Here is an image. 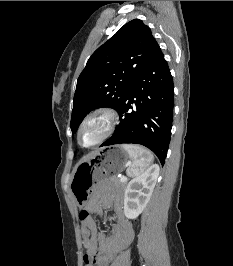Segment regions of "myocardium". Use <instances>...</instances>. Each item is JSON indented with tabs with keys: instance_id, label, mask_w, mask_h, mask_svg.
I'll use <instances>...</instances> for the list:
<instances>
[{
	"instance_id": "f54148a6",
	"label": "myocardium",
	"mask_w": 233,
	"mask_h": 266,
	"mask_svg": "<svg viewBox=\"0 0 233 266\" xmlns=\"http://www.w3.org/2000/svg\"><path fill=\"white\" fill-rule=\"evenodd\" d=\"M98 117H104L107 120V125L105 128V131L101 135V137L95 141L94 143L90 145H85L81 141V131L83 127L91 120L98 118ZM119 122V113L118 111L112 107V106H101L94 110H92L90 113L86 115V117L82 120L80 123L78 130H77V141L80 146L84 148H93L96 147L103 142H105L111 135L114 133L117 125Z\"/></svg>"
}]
</instances>
